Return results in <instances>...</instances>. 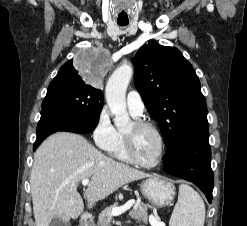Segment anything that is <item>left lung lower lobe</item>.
I'll use <instances>...</instances> for the list:
<instances>
[{"instance_id": "1", "label": "left lung lower lobe", "mask_w": 247, "mask_h": 226, "mask_svg": "<svg viewBox=\"0 0 247 226\" xmlns=\"http://www.w3.org/2000/svg\"><path fill=\"white\" fill-rule=\"evenodd\" d=\"M163 168L169 174L196 184L211 203L214 177L208 129L193 132L168 149Z\"/></svg>"}]
</instances>
